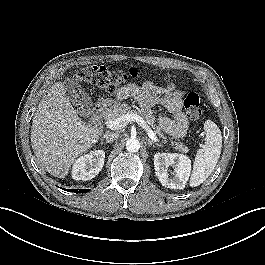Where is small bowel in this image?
Wrapping results in <instances>:
<instances>
[{"label": "small bowel", "mask_w": 265, "mask_h": 265, "mask_svg": "<svg viewBox=\"0 0 265 265\" xmlns=\"http://www.w3.org/2000/svg\"><path fill=\"white\" fill-rule=\"evenodd\" d=\"M135 74V70L130 71ZM135 98L145 108L161 106L166 109L170 116L160 117L158 124L167 134L172 137H182L187 130L188 122L183 113L182 92L176 90L172 84L165 87L145 81L142 84L135 82L125 85L117 93V98Z\"/></svg>", "instance_id": "small-bowel-1"}]
</instances>
